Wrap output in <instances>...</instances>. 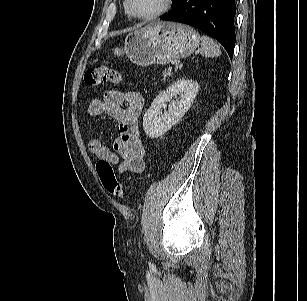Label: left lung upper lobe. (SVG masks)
<instances>
[{"instance_id":"obj_1","label":"left lung upper lobe","mask_w":307,"mask_h":301,"mask_svg":"<svg viewBox=\"0 0 307 301\" xmlns=\"http://www.w3.org/2000/svg\"><path fill=\"white\" fill-rule=\"evenodd\" d=\"M172 10L175 9V7L177 6V4L180 2V0H172Z\"/></svg>"}]
</instances>
